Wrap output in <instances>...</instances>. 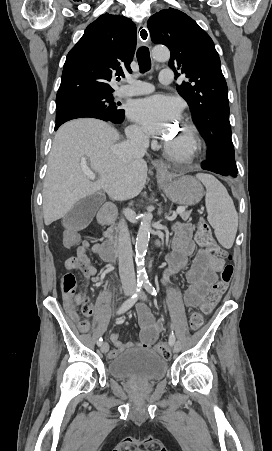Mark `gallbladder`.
<instances>
[{"label":"gallbladder","instance_id":"1","mask_svg":"<svg viewBox=\"0 0 272 451\" xmlns=\"http://www.w3.org/2000/svg\"><path fill=\"white\" fill-rule=\"evenodd\" d=\"M97 196L99 194L87 196V198H83V200L77 202L72 210L64 216L63 226L70 227V229H83V227L88 226L104 202V198L103 200H95Z\"/></svg>","mask_w":272,"mask_h":451}]
</instances>
